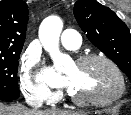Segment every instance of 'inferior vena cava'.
Listing matches in <instances>:
<instances>
[{"label":"inferior vena cava","instance_id":"1","mask_svg":"<svg viewBox=\"0 0 131 115\" xmlns=\"http://www.w3.org/2000/svg\"><path fill=\"white\" fill-rule=\"evenodd\" d=\"M25 100H26V103L29 106L34 108V110H37V109L41 108L42 105H43V98H41V97L40 98H35V97L31 96V95H26Z\"/></svg>","mask_w":131,"mask_h":115}]
</instances>
